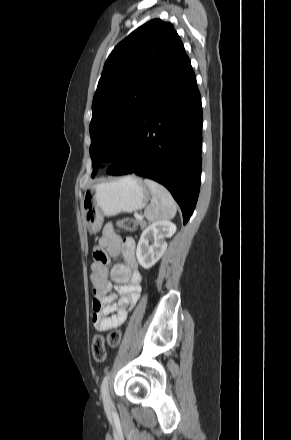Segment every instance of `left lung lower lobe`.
I'll return each instance as SVG.
<instances>
[{"mask_svg":"<svg viewBox=\"0 0 291 440\" xmlns=\"http://www.w3.org/2000/svg\"><path fill=\"white\" fill-rule=\"evenodd\" d=\"M202 106L187 55L150 100L109 175L135 173L164 185L191 217L200 190Z\"/></svg>","mask_w":291,"mask_h":440,"instance_id":"obj_1","label":"left lung lower lobe"}]
</instances>
